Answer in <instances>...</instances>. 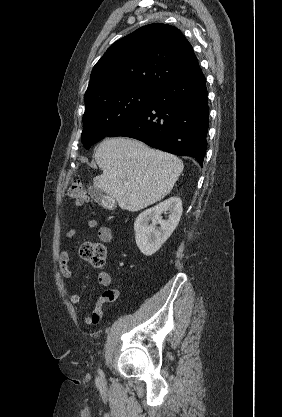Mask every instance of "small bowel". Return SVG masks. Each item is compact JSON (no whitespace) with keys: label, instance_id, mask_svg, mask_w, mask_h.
Instances as JSON below:
<instances>
[{"label":"small bowel","instance_id":"c3829d8e","mask_svg":"<svg viewBox=\"0 0 282 417\" xmlns=\"http://www.w3.org/2000/svg\"><path fill=\"white\" fill-rule=\"evenodd\" d=\"M98 226V223L96 220L91 219L88 220L85 224V228L87 229H94ZM77 230L75 228H71L66 233V238L71 239L76 235ZM112 231L108 226H101L98 229V237L100 240L104 242H109L112 240ZM58 267L62 274V276L66 279H72L73 278V272L69 267V252L68 250H63L59 257H58ZM98 281L99 284L105 288H107L102 295L99 297L98 302L96 304L95 309L92 313L88 314L85 317V323L87 325H96L99 323V321L96 320L95 312L96 310H100L101 317H102V306L105 303L113 302L117 300L120 297V291L118 289H110L108 288L111 284V277L106 271H100L98 273ZM68 297L72 303H79L80 302V295L76 292H70L68 294Z\"/></svg>","mask_w":282,"mask_h":417}]
</instances>
